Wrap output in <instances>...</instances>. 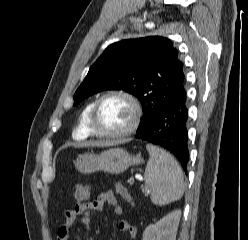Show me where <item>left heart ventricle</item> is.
<instances>
[{"label":"left heart ventricle","instance_id":"left-heart-ventricle-1","mask_svg":"<svg viewBox=\"0 0 248 240\" xmlns=\"http://www.w3.org/2000/svg\"><path fill=\"white\" fill-rule=\"evenodd\" d=\"M133 117L127 101L118 97L104 100L97 113V128L104 133H114L128 127Z\"/></svg>","mask_w":248,"mask_h":240}]
</instances>
